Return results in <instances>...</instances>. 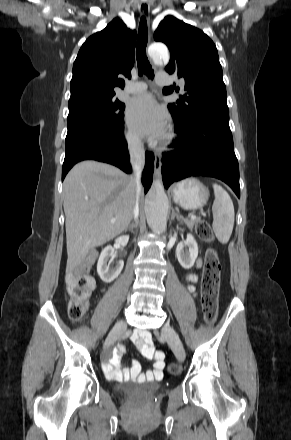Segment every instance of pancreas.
<instances>
[{
    "label": "pancreas",
    "mask_w": 291,
    "mask_h": 440,
    "mask_svg": "<svg viewBox=\"0 0 291 440\" xmlns=\"http://www.w3.org/2000/svg\"><path fill=\"white\" fill-rule=\"evenodd\" d=\"M182 221L185 223V225L187 227L192 229L194 226H196L200 222V219H198V218H196V219H182Z\"/></svg>",
    "instance_id": "cf45deb5"
}]
</instances>
